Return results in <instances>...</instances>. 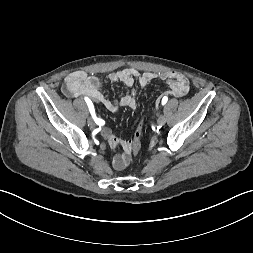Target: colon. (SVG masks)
Returning a JSON list of instances; mask_svg holds the SVG:
<instances>
[{
	"label": "colon",
	"mask_w": 253,
	"mask_h": 253,
	"mask_svg": "<svg viewBox=\"0 0 253 253\" xmlns=\"http://www.w3.org/2000/svg\"><path fill=\"white\" fill-rule=\"evenodd\" d=\"M141 138H142V124L139 123L135 129L132 141L130 142V148L133 154L137 155L141 150Z\"/></svg>",
	"instance_id": "5ec220e1"
}]
</instances>
